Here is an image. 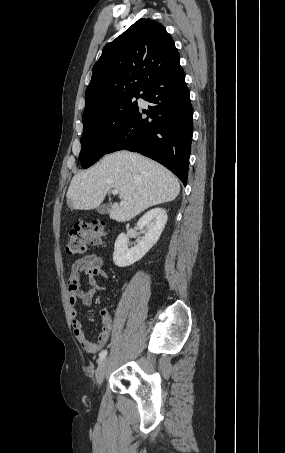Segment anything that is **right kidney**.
<instances>
[{"instance_id":"1","label":"right kidney","mask_w":285,"mask_h":453,"mask_svg":"<svg viewBox=\"0 0 285 453\" xmlns=\"http://www.w3.org/2000/svg\"><path fill=\"white\" fill-rule=\"evenodd\" d=\"M167 212L163 208H154L146 212L137 222V227L144 230V236L133 247L128 248V236L121 233L114 244L113 262L118 267H127L139 261L156 244L167 223Z\"/></svg>"}]
</instances>
